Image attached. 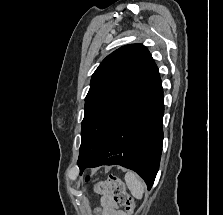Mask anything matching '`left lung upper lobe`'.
Here are the masks:
<instances>
[{
    "mask_svg": "<svg viewBox=\"0 0 223 215\" xmlns=\"http://www.w3.org/2000/svg\"><path fill=\"white\" fill-rule=\"evenodd\" d=\"M158 75L151 54L142 44L123 46L102 61L85 98L79 168L91 160L111 129Z\"/></svg>",
    "mask_w": 223,
    "mask_h": 215,
    "instance_id": "5c2ea615",
    "label": "left lung upper lobe"
}]
</instances>
